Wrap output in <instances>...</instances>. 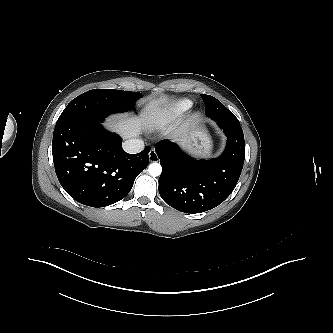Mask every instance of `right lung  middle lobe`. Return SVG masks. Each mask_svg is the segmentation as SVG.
<instances>
[{
	"label": "right lung middle lobe",
	"mask_w": 333,
	"mask_h": 333,
	"mask_svg": "<svg viewBox=\"0 0 333 333\" xmlns=\"http://www.w3.org/2000/svg\"><path fill=\"white\" fill-rule=\"evenodd\" d=\"M141 97L139 92L90 90L73 99L58 120L102 121L109 114L133 110L136 100Z\"/></svg>",
	"instance_id": "dd1d6c3e"
}]
</instances>
